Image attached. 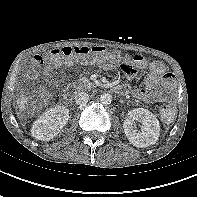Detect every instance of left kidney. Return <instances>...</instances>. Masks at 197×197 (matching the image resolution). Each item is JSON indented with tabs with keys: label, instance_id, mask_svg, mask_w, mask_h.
<instances>
[{
	"label": "left kidney",
	"instance_id": "left-kidney-1",
	"mask_svg": "<svg viewBox=\"0 0 197 197\" xmlns=\"http://www.w3.org/2000/svg\"><path fill=\"white\" fill-rule=\"evenodd\" d=\"M134 121H140L142 123L141 131H137L134 128ZM123 128L129 142L141 148L155 144L160 135L158 119L153 113L144 108H137L130 111L123 123Z\"/></svg>",
	"mask_w": 197,
	"mask_h": 197
}]
</instances>
